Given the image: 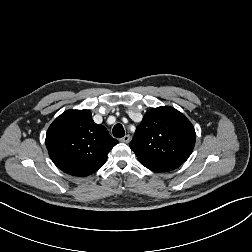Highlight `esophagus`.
<instances>
[{
    "instance_id": "obj_1",
    "label": "esophagus",
    "mask_w": 252,
    "mask_h": 252,
    "mask_svg": "<svg viewBox=\"0 0 252 252\" xmlns=\"http://www.w3.org/2000/svg\"><path fill=\"white\" fill-rule=\"evenodd\" d=\"M131 140V136L129 134L125 135L123 138L120 139L121 142L129 143Z\"/></svg>"
}]
</instances>
